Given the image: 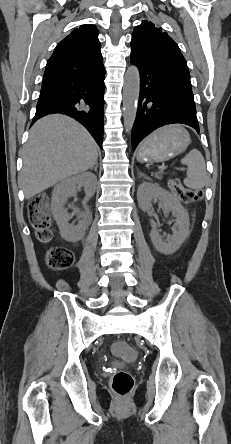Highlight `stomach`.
<instances>
[{"instance_id": "0dacf381", "label": "stomach", "mask_w": 231, "mask_h": 444, "mask_svg": "<svg viewBox=\"0 0 231 444\" xmlns=\"http://www.w3.org/2000/svg\"><path fill=\"white\" fill-rule=\"evenodd\" d=\"M189 143V133L183 127L165 126L140 144L137 159L142 162H163L183 152Z\"/></svg>"}]
</instances>
